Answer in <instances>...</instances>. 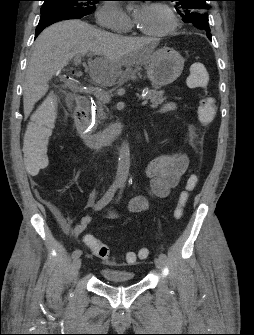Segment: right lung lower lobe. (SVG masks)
Here are the masks:
<instances>
[{"label":"right lung lower lobe","instance_id":"98d812e1","mask_svg":"<svg viewBox=\"0 0 254 335\" xmlns=\"http://www.w3.org/2000/svg\"><path fill=\"white\" fill-rule=\"evenodd\" d=\"M68 19H79V17L63 11H53L42 14L36 28V36L47 26L55 22Z\"/></svg>","mask_w":254,"mask_h":335}]
</instances>
